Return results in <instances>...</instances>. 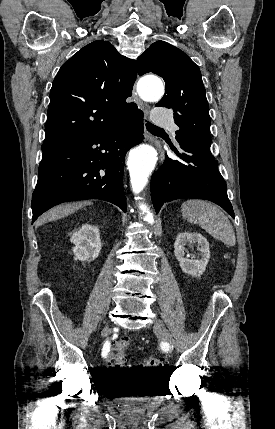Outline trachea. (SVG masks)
Masks as SVG:
<instances>
[{
    "mask_svg": "<svg viewBox=\"0 0 275 429\" xmlns=\"http://www.w3.org/2000/svg\"><path fill=\"white\" fill-rule=\"evenodd\" d=\"M146 128H147V130H148L149 132H151V133L158 132V131H163V129H162V128L157 127V126L153 125V124H152V123H150V122H147V123H146Z\"/></svg>",
    "mask_w": 275,
    "mask_h": 429,
    "instance_id": "3493384b",
    "label": "trachea"
}]
</instances>
